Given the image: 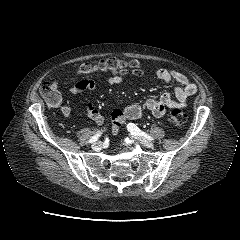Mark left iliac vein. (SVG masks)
<instances>
[{"label":"left iliac vein","instance_id":"4c4485c4","mask_svg":"<svg viewBox=\"0 0 240 240\" xmlns=\"http://www.w3.org/2000/svg\"><path fill=\"white\" fill-rule=\"evenodd\" d=\"M135 136V135H134ZM137 138V140L145 147L147 148H153L154 147V144L151 140L145 138V137H142V136H135Z\"/></svg>","mask_w":240,"mask_h":240}]
</instances>
